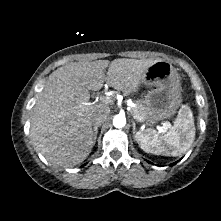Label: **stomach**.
<instances>
[{"instance_id":"stomach-1","label":"stomach","mask_w":221,"mask_h":221,"mask_svg":"<svg viewBox=\"0 0 221 221\" xmlns=\"http://www.w3.org/2000/svg\"><path fill=\"white\" fill-rule=\"evenodd\" d=\"M142 83L151 88L144 101L147 124L173 116L181 103V83L172 64L165 60L154 62L145 72Z\"/></svg>"}]
</instances>
